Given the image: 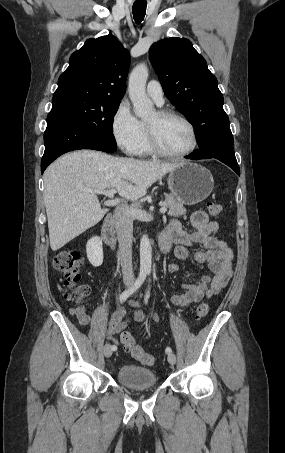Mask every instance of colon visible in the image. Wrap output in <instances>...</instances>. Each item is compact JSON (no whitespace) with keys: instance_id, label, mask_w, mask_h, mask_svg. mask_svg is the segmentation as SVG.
Instances as JSON below:
<instances>
[{"instance_id":"colon-1","label":"colon","mask_w":285,"mask_h":453,"mask_svg":"<svg viewBox=\"0 0 285 453\" xmlns=\"http://www.w3.org/2000/svg\"><path fill=\"white\" fill-rule=\"evenodd\" d=\"M211 216L218 217L222 212L219 204L210 202L207 205ZM82 259L78 252L62 250L58 252L53 260L54 268L63 274V283L66 288L65 295L67 298L82 305L87 296L85 286L78 285L81 278ZM209 306L206 303H200L195 310V318L201 320L207 316ZM121 342L126 352L144 365H153L156 362L155 356L149 354L139 346L131 333L124 331L121 334Z\"/></svg>"}]
</instances>
